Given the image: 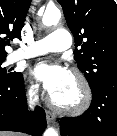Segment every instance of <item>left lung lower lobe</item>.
I'll list each match as a JSON object with an SVG mask.
<instances>
[{"instance_id": "obj_1", "label": "left lung lower lobe", "mask_w": 117, "mask_h": 136, "mask_svg": "<svg viewBox=\"0 0 117 136\" xmlns=\"http://www.w3.org/2000/svg\"><path fill=\"white\" fill-rule=\"evenodd\" d=\"M92 94L81 116L61 118L62 136H117V77L105 80Z\"/></svg>"}]
</instances>
